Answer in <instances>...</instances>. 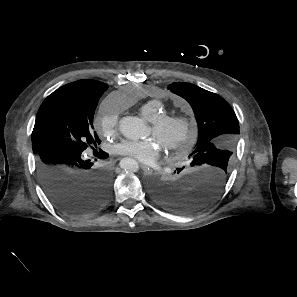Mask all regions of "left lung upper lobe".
I'll list each match as a JSON object with an SVG mask.
<instances>
[{
	"label": "left lung upper lobe",
	"mask_w": 297,
	"mask_h": 297,
	"mask_svg": "<svg viewBox=\"0 0 297 297\" xmlns=\"http://www.w3.org/2000/svg\"><path fill=\"white\" fill-rule=\"evenodd\" d=\"M168 89L186 99L195 112L199 136L189 159H196V162L212 160L222 164L229 172L240 133L239 122L231 106L218 94L191 83L176 82Z\"/></svg>",
	"instance_id": "5c2ea615"
}]
</instances>
